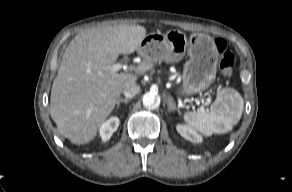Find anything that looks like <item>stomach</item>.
Here are the masks:
<instances>
[{"label":"stomach","mask_w":292,"mask_h":192,"mask_svg":"<svg viewBox=\"0 0 292 192\" xmlns=\"http://www.w3.org/2000/svg\"><path fill=\"white\" fill-rule=\"evenodd\" d=\"M138 52L151 63L179 62L187 53L189 59L185 62L181 75V94L202 92L215 80L218 52L209 35L198 33L188 39L185 33L177 30L166 34L153 32L142 39Z\"/></svg>","instance_id":"0dacf381"}]
</instances>
